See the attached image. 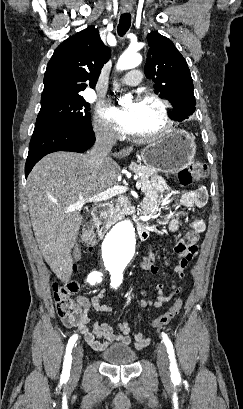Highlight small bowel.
Wrapping results in <instances>:
<instances>
[{
  "label": "small bowel",
  "instance_id": "small-bowel-1",
  "mask_svg": "<svg viewBox=\"0 0 243 409\" xmlns=\"http://www.w3.org/2000/svg\"><path fill=\"white\" fill-rule=\"evenodd\" d=\"M169 188L165 182L160 178H155L152 182L145 186L146 198L143 204L144 210L150 212L159 206L173 203L175 207H201L207 201V190L204 186H198L195 189L184 191L178 197L160 199L161 195H167ZM179 221L175 218L168 223V228L172 232L179 230ZM205 222L198 217L191 219L188 230L183 238H181L175 245L174 250L179 257L178 264L172 271V277L178 276L181 279L186 277V268L189 262L196 256L198 252L197 242L199 235L205 231ZM168 266V262H165ZM141 269L157 274L159 268L154 264V255L151 251L143 259ZM182 291V286H178L174 279L170 283V291L164 292V285L158 283L154 287L156 296L151 298L144 287H140L142 299L139 303L141 308H148L151 306L161 307L169 302L174 296ZM106 291L101 289L90 299L84 296H77L76 302L82 308V318L77 324L78 330L84 335L89 346L96 351L105 350L112 344L122 343L124 345H132L135 349H143L151 342V338L142 332H137L130 336V327L127 322H118L116 328L118 333H115L112 326L105 322H90V312L92 310L101 314H111L112 307L103 303Z\"/></svg>",
  "mask_w": 243,
  "mask_h": 409
}]
</instances>
